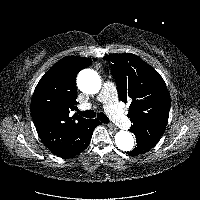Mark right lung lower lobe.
<instances>
[{"label": "right lung lower lobe", "mask_w": 200, "mask_h": 200, "mask_svg": "<svg viewBox=\"0 0 200 200\" xmlns=\"http://www.w3.org/2000/svg\"><path fill=\"white\" fill-rule=\"evenodd\" d=\"M98 124H100V122L97 119L89 120V122L85 125V127L80 132V134H79L77 140L75 141L74 145L72 146V148L69 149L63 155H60L59 157L68 159V158H72V157L80 154L82 151H84L91 141V136L94 131V128Z\"/></svg>", "instance_id": "right-lung-lower-lobe-1"}]
</instances>
